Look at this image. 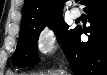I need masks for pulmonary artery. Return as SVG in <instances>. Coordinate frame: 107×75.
I'll return each instance as SVG.
<instances>
[{
  "mask_svg": "<svg viewBox=\"0 0 107 75\" xmlns=\"http://www.w3.org/2000/svg\"><path fill=\"white\" fill-rule=\"evenodd\" d=\"M70 15H71L72 18L76 19L80 16V10L77 9V8H72L70 10Z\"/></svg>",
  "mask_w": 107,
  "mask_h": 75,
  "instance_id": "pulmonary-artery-1",
  "label": "pulmonary artery"
}]
</instances>
